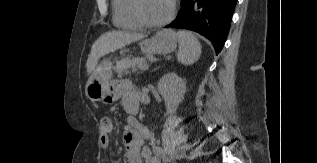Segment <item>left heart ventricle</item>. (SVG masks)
Returning <instances> with one entry per match:
<instances>
[{
    "mask_svg": "<svg viewBox=\"0 0 317 163\" xmlns=\"http://www.w3.org/2000/svg\"><path fill=\"white\" fill-rule=\"evenodd\" d=\"M144 16L152 22L161 21L168 16L172 7V0H142Z\"/></svg>",
    "mask_w": 317,
    "mask_h": 163,
    "instance_id": "1",
    "label": "left heart ventricle"
}]
</instances>
